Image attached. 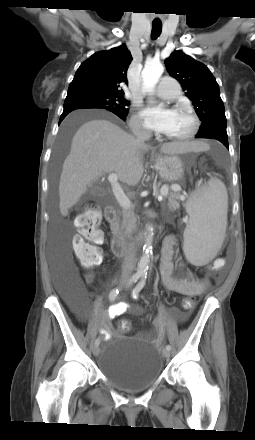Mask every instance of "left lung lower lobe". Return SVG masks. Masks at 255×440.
I'll return each mask as SVG.
<instances>
[{
  "label": "left lung lower lobe",
  "instance_id": "left-lung-lower-lobe-1",
  "mask_svg": "<svg viewBox=\"0 0 255 440\" xmlns=\"http://www.w3.org/2000/svg\"><path fill=\"white\" fill-rule=\"evenodd\" d=\"M196 138H212V139H216V140L220 141L221 143H223L228 148V138H223V137H218V136H206V137L196 136Z\"/></svg>",
  "mask_w": 255,
  "mask_h": 440
}]
</instances>
